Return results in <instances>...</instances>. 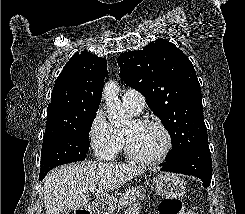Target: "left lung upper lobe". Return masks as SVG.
Segmentation results:
<instances>
[{
  "label": "left lung upper lobe",
  "mask_w": 245,
  "mask_h": 214,
  "mask_svg": "<svg viewBox=\"0 0 245 214\" xmlns=\"http://www.w3.org/2000/svg\"><path fill=\"white\" fill-rule=\"evenodd\" d=\"M117 62L125 84L144 95L168 130L172 151L166 159L208 145L200 84L191 61L180 49L157 39L143 50L121 54Z\"/></svg>",
  "instance_id": "5c2ea615"
}]
</instances>
